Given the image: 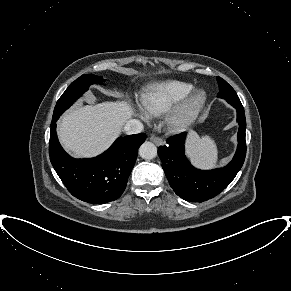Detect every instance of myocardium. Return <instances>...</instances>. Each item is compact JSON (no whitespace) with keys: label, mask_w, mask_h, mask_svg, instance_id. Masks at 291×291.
I'll return each instance as SVG.
<instances>
[{"label":"myocardium","mask_w":291,"mask_h":291,"mask_svg":"<svg viewBox=\"0 0 291 291\" xmlns=\"http://www.w3.org/2000/svg\"><path fill=\"white\" fill-rule=\"evenodd\" d=\"M207 95L203 90H192L170 111L167 127L172 132H182L189 128L205 107Z\"/></svg>","instance_id":"1"}]
</instances>
